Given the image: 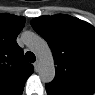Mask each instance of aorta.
Returning a JSON list of instances; mask_svg holds the SVG:
<instances>
[{
  "instance_id": "762f6f07",
  "label": "aorta",
  "mask_w": 95,
  "mask_h": 95,
  "mask_svg": "<svg viewBox=\"0 0 95 95\" xmlns=\"http://www.w3.org/2000/svg\"><path fill=\"white\" fill-rule=\"evenodd\" d=\"M25 44L38 58V74L43 83H50L55 77V65L52 51L47 42L34 32H24Z\"/></svg>"
}]
</instances>
